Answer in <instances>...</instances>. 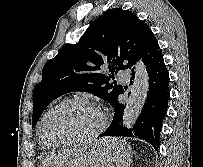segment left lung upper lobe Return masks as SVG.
<instances>
[{"label":"left lung upper lobe","mask_w":203,"mask_h":167,"mask_svg":"<svg viewBox=\"0 0 203 167\" xmlns=\"http://www.w3.org/2000/svg\"><path fill=\"white\" fill-rule=\"evenodd\" d=\"M154 39L147 24L131 11L107 10L78 43L65 45L44 65L33 96L32 127L53 100L69 92H90L114 106L124 90L110 83L114 73L130 69ZM102 66H108L111 74H102Z\"/></svg>","instance_id":"5c2ea615"}]
</instances>
